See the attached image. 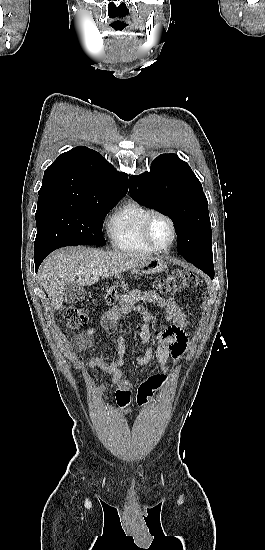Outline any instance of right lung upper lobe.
I'll list each match as a JSON object with an SVG mask.
<instances>
[{
    "instance_id": "cb5924a9",
    "label": "right lung upper lobe",
    "mask_w": 265,
    "mask_h": 550,
    "mask_svg": "<svg viewBox=\"0 0 265 550\" xmlns=\"http://www.w3.org/2000/svg\"><path fill=\"white\" fill-rule=\"evenodd\" d=\"M128 176L98 152L78 146L61 154L44 172L38 199L86 200L123 198Z\"/></svg>"
}]
</instances>
